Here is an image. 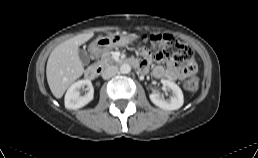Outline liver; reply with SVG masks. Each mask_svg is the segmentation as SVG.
Segmentation results:
<instances>
[{
  "label": "liver",
  "mask_w": 258,
  "mask_h": 158,
  "mask_svg": "<svg viewBox=\"0 0 258 158\" xmlns=\"http://www.w3.org/2000/svg\"><path fill=\"white\" fill-rule=\"evenodd\" d=\"M94 33H83L70 38L50 53L46 66L49 88L56 98H61L66 89L84 72L79 58V46L93 37Z\"/></svg>",
  "instance_id": "1"
}]
</instances>
